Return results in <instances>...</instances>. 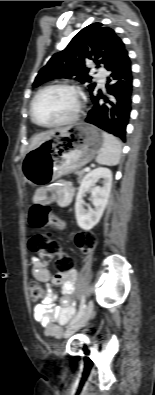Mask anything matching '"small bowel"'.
<instances>
[{
	"label": "small bowel",
	"instance_id": "c3829d8e",
	"mask_svg": "<svg viewBox=\"0 0 155 395\" xmlns=\"http://www.w3.org/2000/svg\"><path fill=\"white\" fill-rule=\"evenodd\" d=\"M52 187L56 192L55 199L59 205L66 206L71 202L74 191L70 183L60 181ZM38 198L42 204L47 202V197L43 192L38 193ZM51 224L59 229L65 227V223L56 217L51 218ZM31 266L34 278L47 285V293L43 301L34 307V319L45 328L46 336L60 337L62 334L60 325L66 324L74 314L71 298L77 281V271L65 274L61 271L54 273L39 257L31 258ZM50 285L60 286V293L52 291ZM59 295L62 296V305L54 307L53 304Z\"/></svg>",
	"mask_w": 155,
	"mask_h": 395
}]
</instances>
